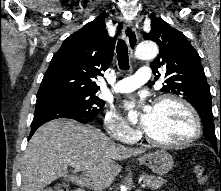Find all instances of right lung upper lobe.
Instances as JSON below:
<instances>
[{
    "instance_id": "obj_1",
    "label": "right lung upper lobe",
    "mask_w": 221,
    "mask_h": 191,
    "mask_svg": "<svg viewBox=\"0 0 221 191\" xmlns=\"http://www.w3.org/2000/svg\"><path fill=\"white\" fill-rule=\"evenodd\" d=\"M121 24H119V28ZM116 38L105 29L104 16H98L66 38L54 54L43 77L37 99L69 93L95 94V79L113 58Z\"/></svg>"
}]
</instances>
